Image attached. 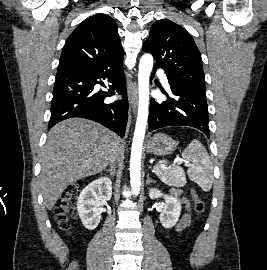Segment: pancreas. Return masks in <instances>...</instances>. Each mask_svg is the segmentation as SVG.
<instances>
[{
  "mask_svg": "<svg viewBox=\"0 0 267 270\" xmlns=\"http://www.w3.org/2000/svg\"><path fill=\"white\" fill-rule=\"evenodd\" d=\"M165 172H167V171L160 170V171L158 172V174L161 176V175L165 174ZM166 179H173V178H170V177L167 176Z\"/></svg>",
  "mask_w": 267,
  "mask_h": 270,
  "instance_id": "1",
  "label": "pancreas"
}]
</instances>
